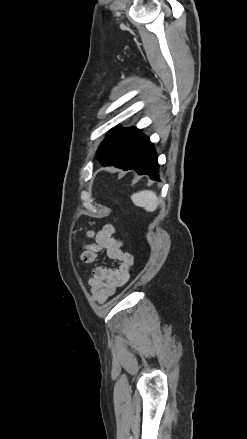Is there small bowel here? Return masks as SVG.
Returning <instances> with one entry per match:
<instances>
[{"mask_svg":"<svg viewBox=\"0 0 247 439\" xmlns=\"http://www.w3.org/2000/svg\"><path fill=\"white\" fill-rule=\"evenodd\" d=\"M93 243L87 244L81 253L86 264L95 262L102 253L115 261V268L98 265L92 270L88 285L94 299L100 303L114 294L118 287L127 283L134 265L133 256L124 250L121 240L114 236V228L106 225L101 230L88 232Z\"/></svg>","mask_w":247,"mask_h":439,"instance_id":"small-bowel-1","label":"small bowel"}]
</instances>
